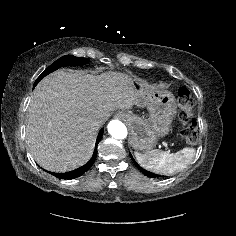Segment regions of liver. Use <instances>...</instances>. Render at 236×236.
Returning a JSON list of instances; mask_svg holds the SVG:
<instances>
[{
  "instance_id": "6515ba94",
  "label": "liver",
  "mask_w": 236,
  "mask_h": 236,
  "mask_svg": "<svg viewBox=\"0 0 236 236\" xmlns=\"http://www.w3.org/2000/svg\"><path fill=\"white\" fill-rule=\"evenodd\" d=\"M140 96L122 73L99 76L58 70L43 78L27 109L26 140L44 169L66 172L85 164L93 154L98 128L116 109H130Z\"/></svg>"
}]
</instances>
